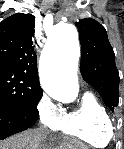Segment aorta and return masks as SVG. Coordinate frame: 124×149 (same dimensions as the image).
I'll list each match as a JSON object with an SVG mask.
<instances>
[{
  "label": "aorta",
  "instance_id": "obj_1",
  "mask_svg": "<svg viewBox=\"0 0 124 149\" xmlns=\"http://www.w3.org/2000/svg\"><path fill=\"white\" fill-rule=\"evenodd\" d=\"M79 55L76 27L70 23L56 25L40 61V83L49 96L66 103L77 98Z\"/></svg>",
  "mask_w": 124,
  "mask_h": 149
}]
</instances>
